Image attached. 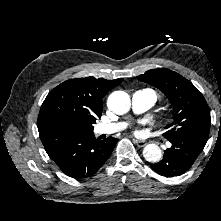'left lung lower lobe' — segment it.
<instances>
[{
  "instance_id": "left-lung-lower-lobe-1",
  "label": "left lung lower lobe",
  "mask_w": 221,
  "mask_h": 221,
  "mask_svg": "<svg viewBox=\"0 0 221 221\" xmlns=\"http://www.w3.org/2000/svg\"><path fill=\"white\" fill-rule=\"evenodd\" d=\"M209 133L193 132L169 139L171 148L164 151L163 159L151 168L165 177L180 176L188 171L203 150Z\"/></svg>"
}]
</instances>
